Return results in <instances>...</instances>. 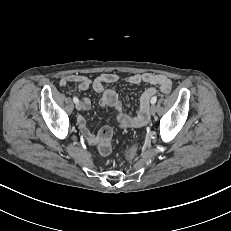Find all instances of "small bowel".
Returning <instances> with one entry per match:
<instances>
[{
	"label": "small bowel",
	"mask_w": 231,
	"mask_h": 231,
	"mask_svg": "<svg viewBox=\"0 0 231 231\" xmlns=\"http://www.w3.org/2000/svg\"><path fill=\"white\" fill-rule=\"evenodd\" d=\"M121 77L115 73H103L95 79L88 78L81 74L66 75L60 79V86L68 83H75L80 90L91 88L96 93H101L100 105L110 107L115 111V118L121 128L143 126L148 119V103L152 96L159 90L162 93L170 92L172 88L171 80L163 74L141 73L133 74L125 78V81L133 85H151L147 88L140 98V110L137 116L131 117L123 111V106L117 93L112 89H107V84L116 83ZM83 108L88 110L91 107V100L83 98ZM78 125L86 141L91 145H98L100 142L99 134L89 132L86 126V120L83 117L78 118Z\"/></svg>",
	"instance_id": "small-bowel-1"
}]
</instances>
